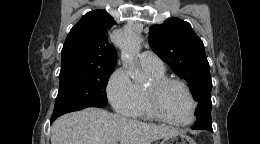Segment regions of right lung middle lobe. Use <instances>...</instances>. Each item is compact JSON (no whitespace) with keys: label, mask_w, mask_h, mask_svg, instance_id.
<instances>
[{"label":"right lung middle lobe","mask_w":260,"mask_h":144,"mask_svg":"<svg viewBox=\"0 0 260 144\" xmlns=\"http://www.w3.org/2000/svg\"><path fill=\"white\" fill-rule=\"evenodd\" d=\"M113 70H61L59 92L51 119L87 107H105L108 104L106 86Z\"/></svg>","instance_id":"obj_1"}]
</instances>
